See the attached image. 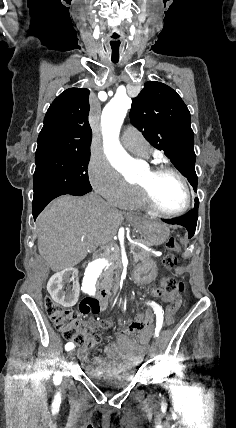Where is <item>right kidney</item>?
Returning <instances> with one entry per match:
<instances>
[{"mask_svg": "<svg viewBox=\"0 0 236 428\" xmlns=\"http://www.w3.org/2000/svg\"><path fill=\"white\" fill-rule=\"evenodd\" d=\"M77 269H59L53 273V277L49 282L51 299L55 301L56 306H65L70 308L77 302L79 290L77 283H67L68 278H77ZM75 292V293H74Z\"/></svg>", "mask_w": 236, "mask_h": 428, "instance_id": "right-kidney-1", "label": "right kidney"}]
</instances>
